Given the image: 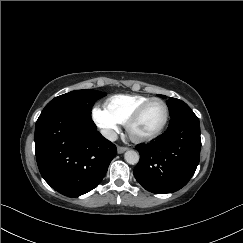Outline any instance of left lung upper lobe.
I'll use <instances>...</instances> for the list:
<instances>
[{"mask_svg": "<svg viewBox=\"0 0 243 243\" xmlns=\"http://www.w3.org/2000/svg\"><path fill=\"white\" fill-rule=\"evenodd\" d=\"M159 96L161 98H165L164 95H159ZM167 105L169 107L170 116H171L169 125L176 122L180 118L194 115V112L189 108V106L185 102L179 99L170 98L169 100H167Z\"/></svg>", "mask_w": 243, "mask_h": 243, "instance_id": "1", "label": "left lung upper lobe"}]
</instances>
